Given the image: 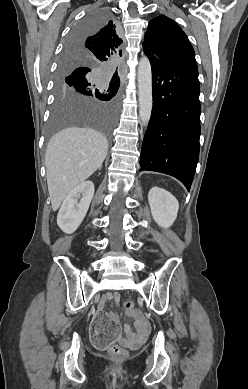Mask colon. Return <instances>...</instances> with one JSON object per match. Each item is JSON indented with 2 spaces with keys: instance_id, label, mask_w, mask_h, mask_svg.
I'll list each match as a JSON object with an SVG mask.
<instances>
[{
  "instance_id": "colon-1",
  "label": "colon",
  "mask_w": 248,
  "mask_h": 389,
  "mask_svg": "<svg viewBox=\"0 0 248 389\" xmlns=\"http://www.w3.org/2000/svg\"><path fill=\"white\" fill-rule=\"evenodd\" d=\"M124 307L131 310L134 307L132 301H126ZM94 322L90 323V331L92 336V347L96 350H107L108 344H114L115 339L122 337L123 332L117 325L116 320L111 318L108 311H97ZM109 356L115 360H122L126 357L127 352L124 348L118 345H111L108 349Z\"/></svg>"
}]
</instances>
